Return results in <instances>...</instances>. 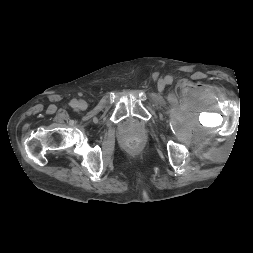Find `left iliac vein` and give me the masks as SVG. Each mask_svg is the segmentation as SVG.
Here are the masks:
<instances>
[{"instance_id":"obj_1","label":"left iliac vein","mask_w":253,"mask_h":253,"mask_svg":"<svg viewBox=\"0 0 253 253\" xmlns=\"http://www.w3.org/2000/svg\"><path fill=\"white\" fill-rule=\"evenodd\" d=\"M164 87H165L164 81H159V83H158V89L160 91H162V90H164Z\"/></svg>"}]
</instances>
